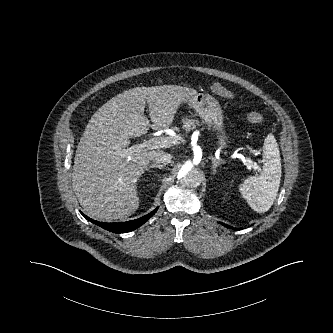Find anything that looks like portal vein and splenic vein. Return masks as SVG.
Returning a JSON list of instances; mask_svg holds the SVG:
<instances>
[{"label": "portal vein and splenic vein", "mask_w": 333, "mask_h": 333, "mask_svg": "<svg viewBox=\"0 0 333 333\" xmlns=\"http://www.w3.org/2000/svg\"><path fill=\"white\" fill-rule=\"evenodd\" d=\"M177 140V136L151 138L150 140L145 141L141 144L132 146V150L134 152L140 153L146 150L168 148L173 144H177ZM245 164L247 166V169L251 172L254 168L252 162L248 158H245Z\"/></svg>", "instance_id": "obj_1"}]
</instances>
